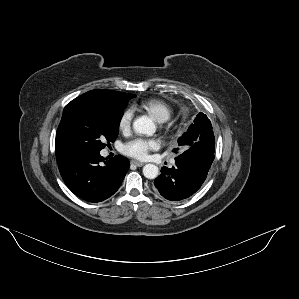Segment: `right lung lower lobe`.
<instances>
[{
	"mask_svg": "<svg viewBox=\"0 0 299 299\" xmlns=\"http://www.w3.org/2000/svg\"><path fill=\"white\" fill-rule=\"evenodd\" d=\"M104 160L100 152H85L58 166L65 184L75 195L89 202H100L118 190L129 169V161L123 156Z\"/></svg>",
	"mask_w": 299,
	"mask_h": 299,
	"instance_id": "right-lung-lower-lobe-1",
	"label": "right lung lower lobe"
}]
</instances>
